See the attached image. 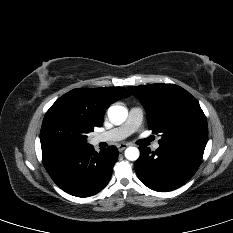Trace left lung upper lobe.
<instances>
[{
  "label": "left lung upper lobe",
  "mask_w": 233,
  "mask_h": 233,
  "mask_svg": "<svg viewBox=\"0 0 233 233\" xmlns=\"http://www.w3.org/2000/svg\"><path fill=\"white\" fill-rule=\"evenodd\" d=\"M143 104L148 126L161 133L160 145L176 143L205 144L208 140L206 117L198 101L174 84L157 83L128 87Z\"/></svg>",
  "instance_id": "5c2ea615"
}]
</instances>
